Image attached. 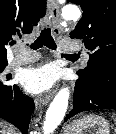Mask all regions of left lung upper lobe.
<instances>
[{
  "mask_svg": "<svg viewBox=\"0 0 116 134\" xmlns=\"http://www.w3.org/2000/svg\"><path fill=\"white\" fill-rule=\"evenodd\" d=\"M83 10L81 20L70 33L82 39L90 51L88 66L77 74L93 78L98 73L116 69V0H67Z\"/></svg>",
  "mask_w": 116,
  "mask_h": 134,
  "instance_id": "1",
  "label": "left lung upper lobe"
}]
</instances>
